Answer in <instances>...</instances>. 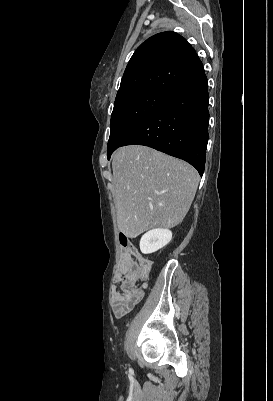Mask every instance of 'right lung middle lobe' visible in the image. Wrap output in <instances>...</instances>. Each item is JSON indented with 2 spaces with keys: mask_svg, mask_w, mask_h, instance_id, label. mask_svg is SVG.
<instances>
[{
  "mask_svg": "<svg viewBox=\"0 0 273 401\" xmlns=\"http://www.w3.org/2000/svg\"><path fill=\"white\" fill-rule=\"evenodd\" d=\"M166 94L139 92L115 100L111 115L108 157L164 100Z\"/></svg>",
  "mask_w": 273,
  "mask_h": 401,
  "instance_id": "1",
  "label": "right lung middle lobe"
}]
</instances>
